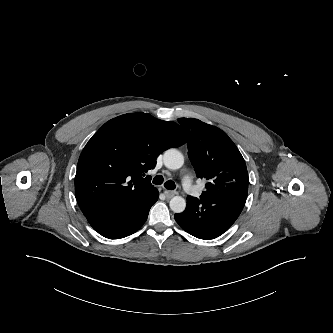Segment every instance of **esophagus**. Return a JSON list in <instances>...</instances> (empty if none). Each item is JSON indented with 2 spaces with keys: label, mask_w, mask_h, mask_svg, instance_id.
Masks as SVG:
<instances>
[{
  "label": "esophagus",
  "mask_w": 333,
  "mask_h": 333,
  "mask_svg": "<svg viewBox=\"0 0 333 333\" xmlns=\"http://www.w3.org/2000/svg\"><path fill=\"white\" fill-rule=\"evenodd\" d=\"M177 193L175 191L166 190L165 195L168 199L174 197Z\"/></svg>",
  "instance_id": "obj_1"
}]
</instances>
